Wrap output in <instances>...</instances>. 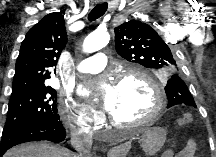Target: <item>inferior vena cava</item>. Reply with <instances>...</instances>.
I'll use <instances>...</instances> for the list:
<instances>
[{"mask_svg":"<svg viewBox=\"0 0 216 157\" xmlns=\"http://www.w3.org/2000/svg\"><path fill=\"white\" fill-rule=\"evenodd\" d=\"M71 144L78 151V157H87L92 146V135L74 130L71 132Z\"/></svg>","mask_w":216,"mask_h":157,"instance_id":"obj_1","label":"inferior vena cava"}]
</instances>
